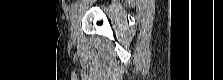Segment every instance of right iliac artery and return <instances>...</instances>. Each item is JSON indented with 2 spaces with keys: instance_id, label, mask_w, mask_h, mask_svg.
<instances>
[{
  "instance_id": "82829eb1",
  "label": "right iliac artery",
  "mask_w": 223,
  "mask_h": 80,
  "mask_svg": "<svg viewBox=\"0 0 223 80\" xmlns=\"http://www.w3.org/2000/svg\"><path fill=\"white\" fill-rule=\"evenodd\" d=\"M78 9V3L74 4L71 8V15H70V20L73 21L76 11Z\"/></svg>"
}]
</instances>
